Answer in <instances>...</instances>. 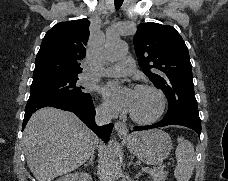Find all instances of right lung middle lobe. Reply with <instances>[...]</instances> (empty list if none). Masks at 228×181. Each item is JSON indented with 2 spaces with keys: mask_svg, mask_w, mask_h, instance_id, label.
Masks as SVG:
<instances>
[{
  "mask_svg": "<svg viewBox=\"0 0 228 181\" xmlns=\"http://www.w3.org/2000/svg\"><path fill=\"white\" fill-rule=\"evenodd\" d=\"M77 80L76 74L33 78L29 99L56 97L78 103L92 101L90 94L85 93L84 88L77 85Z\"/></svg>",
  "mask_w": 228,
  "mask_h": 181,
  "instance_id": "right-lung-middle-lobe-1",
  "label": "right lung middle lobe"
}]
</instances>
